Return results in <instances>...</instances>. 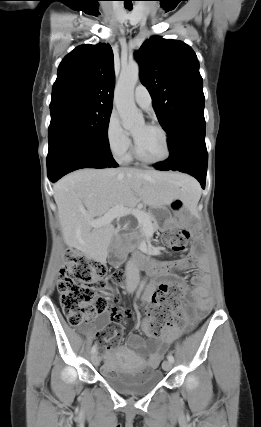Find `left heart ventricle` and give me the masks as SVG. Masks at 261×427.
I'll return each mask as SVG.
<instances>
[{
  "instance_id": "obj_1",
  "label": "left heart ventricle",
  "mask_w": 261,
  "mask_h": 427,
  "mask_svg": "<svg viewBox=\"0 0 261 427\" xmlns=\"http://www.w3.org/2000/svg\"><path fill=\"white\" fill-rule=\"evenodd\" d=\"M138 153L145 159L157 160L166 153L162 134L145 124H139L132 130Z\"/></svg>"
}]
</instances>
